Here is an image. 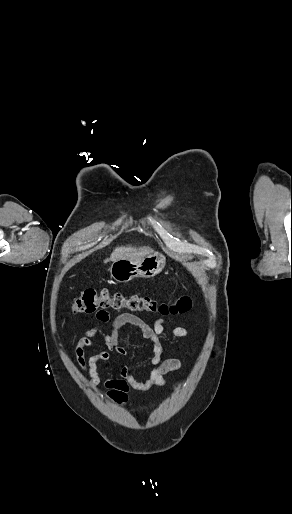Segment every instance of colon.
I'll use <instances>...</instances> for the list:
<instances>
[{
  "label": "colon",
  "mask_w": 292,
  "mask_h": 514,
  "mask_svg": "<svg viewBox=\"0 0 292 514\" xmlns=\"http://www.w3.org/2000/svg\"><path fill=\"white\" fill-rule=\"evenodd\" d=\"M191 305L192 301L187 295L180 296L174 302H164L147 296L125 295L122 292L111 293L106 289L97 291L94 288H86L73 301V310L87 314L107 310H127L129 312L181 315L187 313L191 309Z\"/></svg>",
  "instance_id": "obj_1"
}]
</instances>
